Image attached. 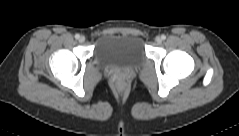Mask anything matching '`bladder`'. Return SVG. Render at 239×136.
Returning <instances> with one entry per match:
<instances>
[{"label":"bladder","instance_id":"1","mask_svg":"<svg viewBox=\"0 0 239 136\" xmlns=\"http://www.w3.org/2000/svg\"><path fill=\"white\" fill-rule=\"evenodd\" d=\"M94 55L102 67L136 68L146 58L144 40L133 34H104L95 41Z\"/></svg>","mask_w":239,"mask_h":136}]
</instances>
